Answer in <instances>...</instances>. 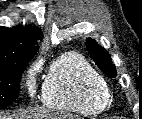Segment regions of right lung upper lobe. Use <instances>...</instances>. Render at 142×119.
<instances>
[{
	"label": "right lung upper lobe",
	"mask_w": 142,
	"mask_h": 119,
	"mask_svg": "<svg viewBox=\"0 0 142 119\" xmlns=\"http://www.w3.org/2000/svg\"><path fill=\"white\" fill-rule=\"evenodd\" d=\"M43 37L40 29L32 27H0V64L32 59L37 41Z\"/></svg>",
	"instance_id": "1"
}]
</instances>
